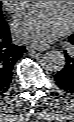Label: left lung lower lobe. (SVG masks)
Wrapping results in <instances>:
<instances>
[{
    "mask_svg": "<svg viewBox=\"0 0 74 122\" xmlns=\"http://www.w3.org/2000/svg\"><path fill=\"white\" fill-rule=\"evenodd\" d=\"M69 41L74 45V34L69 37ZM66 65L54 75V79L59 88L65 92L74 94V54H67L65 51Z\"/></svg>",
    "mask_w": 74,
    "mask_h": 122,
    "instance_id": "0a47b994",
    "label": "left lung lower lobe"
}]
</instances>
